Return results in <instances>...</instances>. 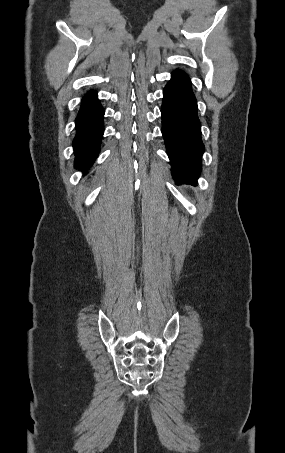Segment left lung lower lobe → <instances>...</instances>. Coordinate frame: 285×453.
<instances>
[{
  "mask_svg": "<svg viewBox=\"0 0 285 453\" xmlns=\"http://www.w3.org/2000/svg\"><path fill=\"white\" fill-rule=\"evenodd\" d=\"M162 134L177 184L195 185L205 147L189 77L177 69L163 91Z\"/></svg>",
  "mask_w": 285,
  "mask_h": 453,
  "instance_id": "left-lung-lower-lobe-1",
  "label": "left lung lower lobe"
}]
</instances>
